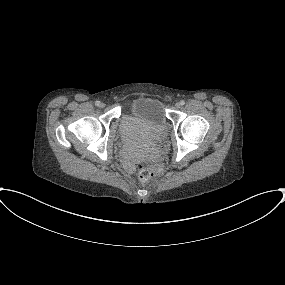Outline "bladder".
<instances>
[{
	"label": "bladder",
	"mask_w": 285,
	"mask_h": 285,
	"mask_svg": "<svg viewBox=\"0 0 285 285\" xmlns=\"http://www.w3.org/2000/svg\"><path fill=\"white\" fill-rule=\"evenodd\" d=\"M166 117L156 98L133 100L118 120L116 138L128 152L142 149L147 156L161 151L167 144Z\"/></svg>",
	"instance_id": "1"
}]
</instances>
